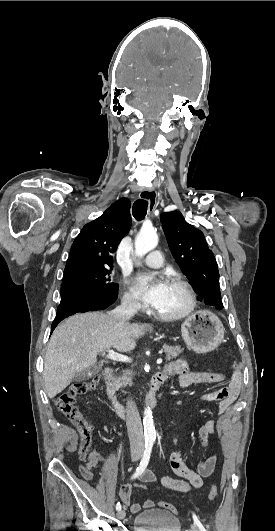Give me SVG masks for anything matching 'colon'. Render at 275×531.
<instances>
[{
    "instance_id": "obj_1",
    "label": "colon",
    "mask_w": 275,
    "mask_h": 531,
    "mask_svg": "<svg viewBox=\"0 0 275 531\" xmlns=\"http://www.w3.org/2000/svg\"><path fill=\"white\" fill-rule=\"evenodd\" d=\"M241 367V363L234 361L232 363V368L238 370ZM97 386V381H85L73 384L68 391L61 393L55 400L56 409L61 412L76 428L80 436V451L79 457L81 460L86 459L90 452L93 441V429L91 424L88 422L84 413L79 410L75 405V398L81 394L92 391ZM80 472L85 479L92 478V471L89 466L86 464L81 465ZM133 485V484H131ZM142 487L141 491L146 489L144 484L139 485ZM218 494V489L216 485H212L209 489L207 498L209 501H213ZM159 505L162 509L169 512L175 513V507L168 502H159Z\"/></svg>"
}]
</instances>
